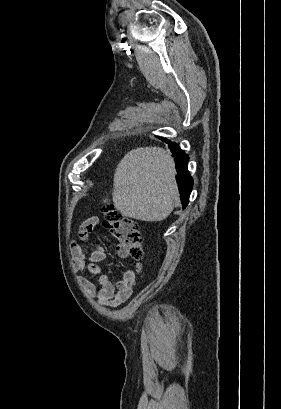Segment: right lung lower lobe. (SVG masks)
Masks as SVG:
<instances>
[{"instance_id":"98d812e1","label":"right lung lower lobe","mask_w":281,"mask_h":409,"mask_svg":"<svg viewBox=\"0 0 281 409\" xmlns=\"http://www.w3.org/2000/svg\"><path fill=\"white\" fill-rule=\"evenodd\" d=\"M168 142V141H167ZM171 152L176 156L177 177L180 182L179 191L183 207H186L189 202V196L192 190L193 180L187 169L188 156L180 150L175 143L168 142Z\"/></svg>"}]
</instances>
